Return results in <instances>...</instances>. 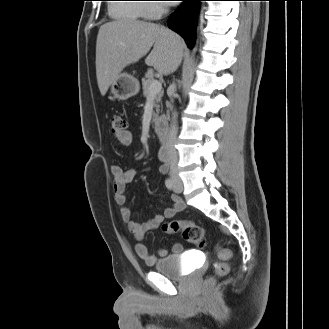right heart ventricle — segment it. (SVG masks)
Returning a JSON list of instances; mask_svg holds the SVG:
<instances>
[{
    "label": "right heart ventricle",
    "instance_id": "right-heart-ventricle-1",
    "mask_svg": "<svg viewBox=\"0 0 329 329\" xmlns=\"http://www.w3.org/2000/svg\"><path fill=\"white\" fill-rule=\"evenodd\" d=\"M123 2L111 4L109 7L110 14L119 19L138 21L147 18V4L143 0H113Z\"/></svg>",
    "mask_w": 329,
    "mask_h": 329
}]
</instances>
